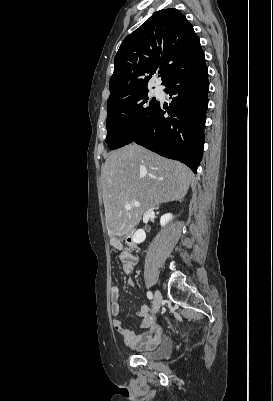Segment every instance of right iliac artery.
Listing matches in <instances>:
<instances>
[{"mask_svg":"<svg viewBox=\"0 0 273 401\" xmlns=\"http://www.w3.org/2000/svg\"><path fill=\"white\" fill-rule=\"evenodd\" d=\"M147 297L149 298V299H152L153 298V294H152V292H147Z\"/></svg>","mask_w":273,"mask_h":401,"instance_id":"right-iliac-artery-1","label":"right iliac artery"}]
</instances>
